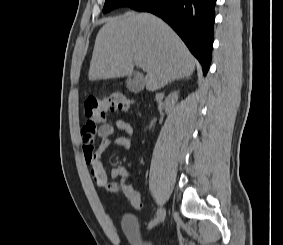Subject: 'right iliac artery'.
I'll list each match as a JSON object with an SVG mask.
<instances>
[{"label":"right iliac artery","instance_id":"obj_1","mask_svg":"<svg viewBox=\"0 0 283 245\" xmlns=\"http://www.w3.org/2000/svg\"><path fill=\"white\" fill-rule=\"evenodd\" d=\"M155 219H153L150 223H149V227H152L154 224Z\"/></svg>","mask_w":283,"mask_h":245}]
</instances>
